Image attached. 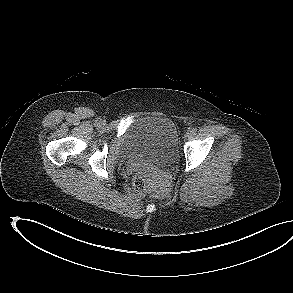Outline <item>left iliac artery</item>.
<instances>
[{"instance_id":"44dca946","label":"left iliac artery","mask_w":293,"mask_h":293,"mask_svg":"<svg viewBox=\"0 0 293 293\" xmlns=\"http://www.w3.org/2000/svg\"><path fill=\"white\" fill-rule=\"evenodd\" d=\"M191 132H192V133H196V132H197V128H196V127H195V128H192V129H191Z\"/></svg>"}]
</instances>
